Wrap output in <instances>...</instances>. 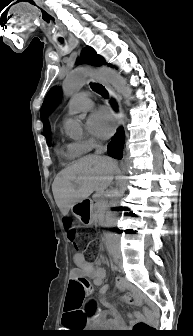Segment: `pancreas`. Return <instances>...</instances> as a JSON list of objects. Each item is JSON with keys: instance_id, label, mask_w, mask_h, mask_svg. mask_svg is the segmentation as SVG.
<instances>
[{"instance_id": "obj_1", "label": "pancreas", "mask_w": 193, "mask_h": 336, "mask_svg": "<svg viewBox=\"0 0 193 336\" xmlns=\"http://www.w3.org/2000/svg\"><path fill=\"white\" fill-rule=\"evenodd\" d=\"M102 207H106L105 203H96L94 206V220L97 222L98 226L103 224V215L105 210Z\"/></svg>"}]
</instances>
